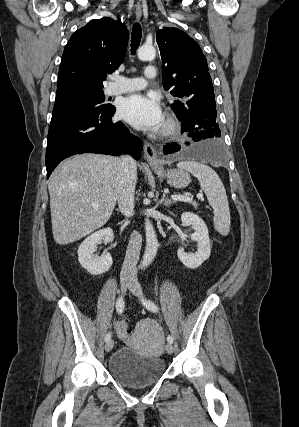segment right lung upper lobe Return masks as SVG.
<instances>
[{
	"instance_id": "1",
	"label": "right lung upper lobe",
	"mask_w": 299,
	"mask_h": 427,
	"mask_svg": "<svg viewBox=\"0 0 299 427\" xmlns=\"http://www.w3.org/2000/svg\"><path fill=\"white\" fill-rule=\"evenodd\" d=\"M127 42L125 25L108 17L77 30L62 55L55 102L103 92L106 74L122 63Z\"/></svg>"
}]
</instances>
